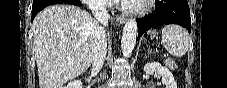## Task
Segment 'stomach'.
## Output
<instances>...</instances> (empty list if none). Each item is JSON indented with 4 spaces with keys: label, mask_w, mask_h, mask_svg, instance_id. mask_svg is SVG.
Segmentation results:
<instances>
[{
    "label": "stomach",
    "mask_w": 227,
    "mask_h": 88,
    "mask_svg": "<svg viewBox=\"0 0 227 88\" xmlns=\"http://www.w3.org/2000/svg\"><path fill=\"white\" fill-rule=\"evenodd\" d=\"M149 35H150L151 37H153V36H155V32H154V31H150V32H149Z\"/></svg>",
    "instance_id": "stomach-1"
}]
</instances>
